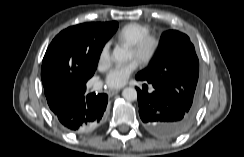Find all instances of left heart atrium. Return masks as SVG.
Returning a JSON list of instances; mask_svg holds the SVG:
<instances>
[{"instance_id":"39dd6f15","label":"left heart atrium","mask_w":244,"mask_h":157,"mask_svg":"<svg viewBox=\"0 0 244 157\" xmlns=\"http://www.w3.org/2000/svg\"><path fill=\"white\" fill-rule=\"evenodd\" d=\"M139 66L137 59H132L126 64H120L113 67L105 78V85L110 89L123 87L129 77L137 70Z\"/></svg>"}]
</instances>
